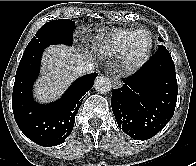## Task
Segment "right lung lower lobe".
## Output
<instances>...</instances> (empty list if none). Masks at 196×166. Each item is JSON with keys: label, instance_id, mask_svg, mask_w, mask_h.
I'll use <instances>...</instances> for the list:
<instances>
[{"label": "right lung lower lobe", "instance_id": "1", "mask_svg": "<svg viewBox=\"0 0 196 166\" xmlns=\"http://www.w3.org/2000/svg\"><path fill=\"white\" fill-rule=\"evenodd\" d=\"M45 48L24 52L16 72L12 108L23 134L40 146L50 147L64 142L71 134L83 96L93 86L97 73L77 79L58 101L40 105L33 99L32 88Z\"/></svg>", "mask_w": 196, "mask_h": 166}]
</instances>
